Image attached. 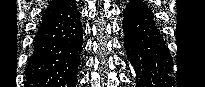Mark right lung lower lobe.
<instances>
[{"label": "right lung lower lobe", "mask_w": 205, "mask_h": 87, "mask_svg": "<svg viewBox=\"0 0 205 87\" xmlns=\"http://www.w3.org/2000/svg\"><path fill=\"white\" fill-rule=\"evenodd\" d=\"M80 16L73 0L47 7L25 70V86L75 87L83 43Z\"/></svg>", "instance_id": "obj_1"}]
</instances>
